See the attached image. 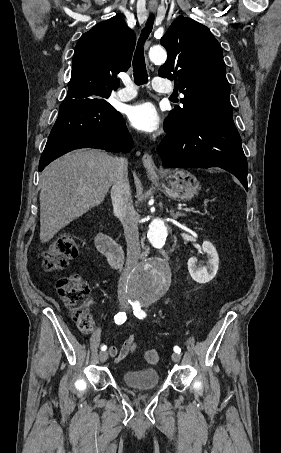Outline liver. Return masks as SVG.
<instances>
[{"label": "liver", "mask_w": 281, "mask_h": 453, "mask_svg": "<svg viewBox=\"0 0 281 453\" xmlns=\"http://www.w3.org/2000/svg\"><path fill=\"white\" fill-rule=\"evenodd\" d=\"M117 176V158L99 148L72 150L48 164L41 172V243L101 204Z\"/></svg>", "instance_id": "obj_1"}]
</instances>
